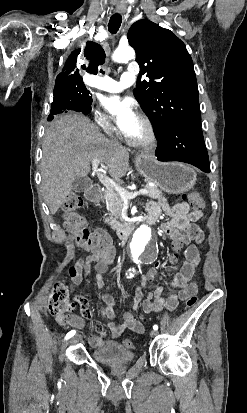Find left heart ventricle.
I'll use <instances>...</instances> for the list:
<instances>
[{
    "label": "left heart ventricle",
    "mask_w": 247,
    "mask_h": 413,
    "mask_svg": "<svg viewBox=\"0 0 247 413\" xmlns=\"http://www.w3.org/2000/svg\"><path fill=\"white\" fill-rule=\"evenodd\" d=\"M148 136V128L143 123H141L139 128H136L128 137L134 140H143Z\"/></svg>",
    "instance_id": "b2bd125f"
}]
</instances>
